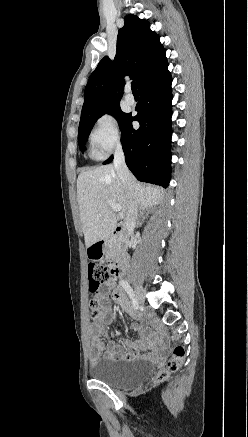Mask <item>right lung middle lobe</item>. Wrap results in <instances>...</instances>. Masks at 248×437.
Returning <instances> with one entry per match:
<instances>
[{
	"label": "right lung middle lobe",
	"mask_w": 248,
	"mask_h": 437,
	"mask_svg": "<svg viewBox=\"0 0 248 437\" xmlns=\"http://www.w3.org/2000/svg\"><path fill=\"white\" fill-rule=\"evenodd\" d=\"M111 114L112 116H114L118 123H119V127L120 130L123 129L124 125L126 124V122L128 121L130 114L124 113L121 111L119 105L112 107L102 113L87 117L86 119L82 120L79 123V130H78V141H79V148L80 150L83 152V150L85 149V143L87 141V138L90 134V131L93 127V125L95 124V122L104 114Z\"/></svg>",
	"instance_id": "obj_1"
}]
</instances>
